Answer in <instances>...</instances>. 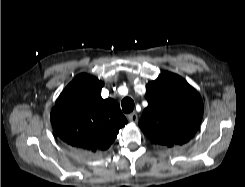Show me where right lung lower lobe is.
<instances>
[{
  "instance_id": "obj_1",
  "label": "right lung lower lobe",
  "mask_w": 245,
  "mask_h": 187,
  "mask_svg": "<svg viewBox=\"0 0 245 187\" xmlns=\"http://www.w3.org/2000/svg\"><path fill=\"white\" fill-rule=\"evenodd\" d=\"M73 149L78 151V152H80V153H82V154H89V152H86V151H83V150H78V149H75V148H73Z\"/></svg>"
}]
</instances>
